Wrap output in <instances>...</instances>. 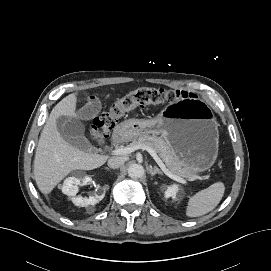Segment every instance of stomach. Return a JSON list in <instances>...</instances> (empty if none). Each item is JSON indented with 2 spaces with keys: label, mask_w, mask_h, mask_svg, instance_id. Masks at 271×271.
Wrapping results in <instances>:
<instances>
[{
  "label": "stomach",
  "mask_w": 271,
  "mask_h": 271,
  "mask_svg": "<svg viewBox=\"0 0 271 271\" xmlns=\"http://www.w3.org/2000/svg\"><path fill=\"white\" fill-rule=\"evenodd\" d=\"M116 132L127 140L160 134L195 173L209 169L218 154V123L210 107L199 99L171 102L155 118L126 120Z\"/></svg>",
  "instance_id": "stomach-1"
}]
</instances>
